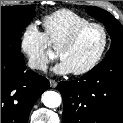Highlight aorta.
<instances>
[{"label":"aorta","instance_id":"aorta-1","mask_svg":"<svg viewBox=\"0 0 123 123\" xmlns=\"http://www.w3.org/2000/svg\"><path fill=\"white\" fill-rule=\"evenodd\" d=\"M61 100V95L55 91H46L42 96L43 104L48 108H57Z\"/></svg>","mask_w":123,"mask_h":123}]
</instances>
